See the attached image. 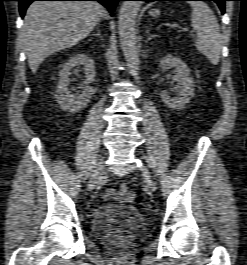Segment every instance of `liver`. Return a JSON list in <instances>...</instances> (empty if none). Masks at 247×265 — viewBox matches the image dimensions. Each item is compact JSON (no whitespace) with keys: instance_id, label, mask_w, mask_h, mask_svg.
<instances>
[{"instance_id":"1","label":"liver","mask_w":247,"mask_h":265,"mask_svg":"<svg viewBox=\"0 0 247 265\" xmlns=\"http://www.w3.org/2000/svg\"><path fill=\"white\" fill-rule=\"evenodd\" d=\"M106 10L97 2L36 1L27 9L22 40L33 74L53 53L86 38Z\"/></svg>"}]
</instances>
